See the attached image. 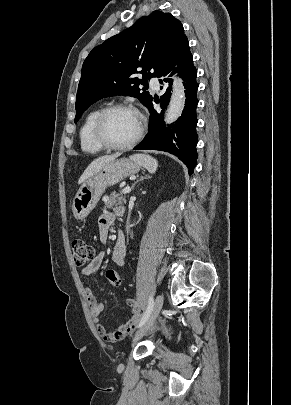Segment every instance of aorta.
<instances>
[{
  "mask_svg": "<svg viewBox=\"0 0 291 405\" xmlns=\"http://www.w3.org/2000/svg\"><path fill=\"white\" fill-rule=\"evenodd\" d=\"M184 105L185 89L181 79L175 77L171 99L164 118L165 122L168 124L175 122L181 116Z\"/></svg>",
  "mask_w": 291,
  "mask_h": 405,
  "instance_id": "1",
  "label": "aorta"
}]
</instances>
